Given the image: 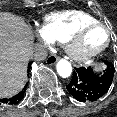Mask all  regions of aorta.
Masks as SVG:
<instances>
[{"instance_id":"aorta-1","label":"aorta","mask_w":117,"mask_h":117,"mask_svg":"<svg viewBox=\"0 0 117 117\" xmlns=\"http://www.w3.org/2000/svg\"><path fill=\"white\" fill-rule=\"evenodd\" d=\"M56 68H57L58 74L62 78H68L72 73V66H71L70 62L67 60H64V59L60 60L57 63Z\"/></svg>"}]
</instances>
